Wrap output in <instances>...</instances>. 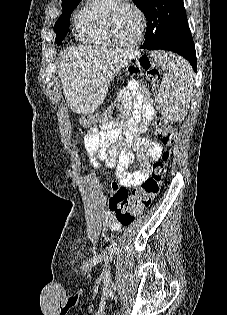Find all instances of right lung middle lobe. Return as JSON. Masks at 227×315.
Listing matches in <instances>:
<instances>
[{
	"label": "right lung middle lobe",
	"instance_id": "right-lung-middle-lobe-1",
	"mask_svg": "<svg viewBox=\"0 0 227 315\" xmlns=\"http://www.w3.org/2000/svg\"><path fill=\"white\" fill-rule=\"evenodd\" d=\"M80 1L81 0H63V14L57 20L54 29L56 33L55 42L57 45H60L66 36L69 30L71 12L77 7Z\"/></svg>",
	"mask_w": 227,
	"mask_h": 315
}]
</instances>
